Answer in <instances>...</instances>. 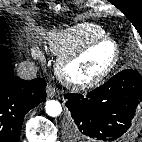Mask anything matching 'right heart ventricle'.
<instances>
[{
    "mask_svg": "<svg viewBox=\"0 0 142 142\" xmlns=\"http://www.w3.org/2000/svg\"><path fill=\"white\" fill-rule=\"evenodd\" d=\"M105 35L106 32L100 26L81 23L53 34L49 46L55 55L62 57Z\"/></svg>",
    "mask_w": 142,
    "mask_h": 142,
    "instance_id": "right-heart-ventricle-1",
    "label": "right heart ventricle"
}]
</instances>
